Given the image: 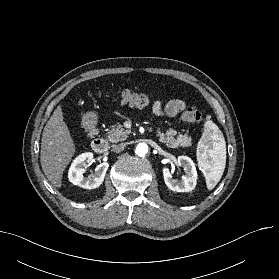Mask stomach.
Listing matches in <instances>:
<instances>
[{"label": "stomach", "mask_w": 279, "mask_h": 279, "mask_svg": "<svg viewBox=\"0 0 279 279\" xmlns=\"http://www.w3.org/2000/svg\"><path fill=\"white\" fill-rule=\"evenodd\" d=\"M96 122H97V115H96V113L91 112V113H88V114L85 115V117H84V124L86 126H88V127L92 126Z\"/></svg>", "instance_id": "obj_1"}]
</instances>
